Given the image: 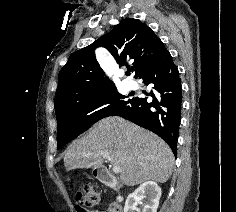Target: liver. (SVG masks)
<instances>
[{"instance_id":"obj_1","label":"liver","mask_w":236,"mask_h":212,"mask_svg":"<svg viewBox=\"0 0 236 212\" xmlns=\"http://www.w3.org/2000/svg\"><path fill=\"white\" fill-rule=\"evenodd\" d=\"M99 151L121 168L120 179L127 186L150 180L165 183L173 171L170 147L154 133L120 117L100 120L72 142L64 156L66 170L102 167L105 157L97 155Z\"/></svg>"}]
</instances>
